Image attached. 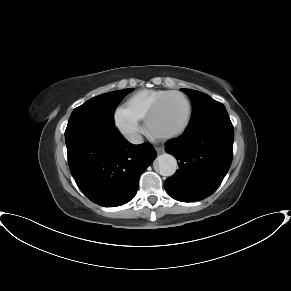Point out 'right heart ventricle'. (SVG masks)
I'll return each mask as SVG.
<instances>
[{"label":"right heart ventricle","mask_w":291,"mask_h":291,"mask_svg":"<svg viewBox=\"0 0 291 291\" xmlns=\"http://www.w3.org/2000/svg\"><path fill=\"white\" fill-rule=\"evenodd\" d=\"M168 92L161 89L140 90L129 96L124 106L141 120L146 117L155 102Z\"/></svg>","instance_id":"e07e8e85"}]
</instances>
